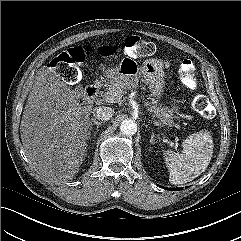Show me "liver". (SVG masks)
<instances>
[{"mask_svg": "<svg viewBox=\"0 0 241 241\" xmlns=\"http://www.w3.org/2000/svg\"><path fill=\"white\" fill-rule=\"evenodd\" d=\"M55 72L41 68L29 93L20 130L24 151L41 177L60 184L73 179L83 162L92 105Z\"/></svg>", "mask_w": 241, "mask_h": 241, "instance_id": "liver-1", "label": "liver"}]
</instances>
